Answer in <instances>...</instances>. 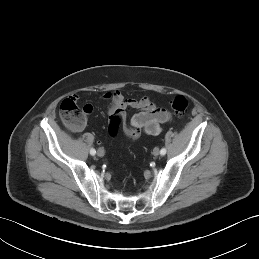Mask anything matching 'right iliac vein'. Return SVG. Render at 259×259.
I'll list each match as a JSON object with an SVG mask.
<instances>
[{"label":"right iliac vein","instance_id":"obj_1","mask_svg":"<svg viewBox=\"0 0 259 259\" xmlns=\"http://www.w3.org/2000/svg\"><path fill=\"white\" fill-rule=\"evenodd\" d=\"M97 155H98L99 157L104 156V150L101 149V148H99V149L97 150Z\"/></svg>","mask_w":259,"mask_h":259}]
</instances>
